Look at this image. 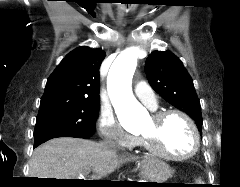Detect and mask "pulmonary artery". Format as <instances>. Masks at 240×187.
<instances>
[{
  "instance_id": "pulmonary-artery-1",
  "label": "pulmonary artery",
  "mask_w": 240,
  "mask_h": 187,
  "mask_svg": "<svg viewBox=\"0 0 240 187\" xmlns=\"http://www.w3.org/2000/svg\"><path fill=\"white\" fill-rule=\"evenodd\" d=\"M134 92L137 98L150 109H155L157 101L152 88L144 81L137 82L134 86Z\"/></svg>"
}]
</instances>
